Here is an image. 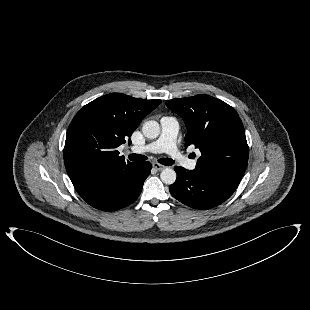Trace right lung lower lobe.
<instances>
[{"mask_svg":"<svg viewBox=\"0 0 310 310\" xmlns=\"http://www.w3.org/2000/svg\"><path fill=\"white\" fill-rule=\"evenodd\" d=\"M151 168L150 162L132 163L125 168L113 169L74 184V187L92 207L102 211H115L138 198Z\"/></svg>","mask_w":310,"mask_h":310,"instance_id":"right-lung-lower-lobe-1","label":"right lung lower lobe"}]
</instances>
